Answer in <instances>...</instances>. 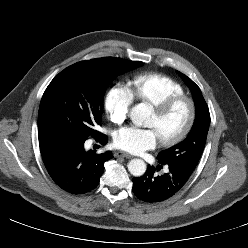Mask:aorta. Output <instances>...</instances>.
Segmentation results:
<instances>
[{
	"label": "aorta",
	"mask_w": 248,
	"mask_h": 248,
	"mask_svg": "<svg viewBox=\"0 0 248 248\" xmlns=\"http://www.w3.org/2000/svg\"><path fill=\"white\" fill-rule=\"evenodd\" d=\"M150 115V110L148 109V107L141 103L138 104L136 106H134L131 109L130 112V118L132 120V122L137 125L140 126L143 124V122L145 121V119ZM128 170L129 172L135 176V177H140L142 176L145 171H146V164L143 160L141 159H132L129 163H128Z\"/></svg>",
	"instance_id": "aorta-1"
}]
</instances>
